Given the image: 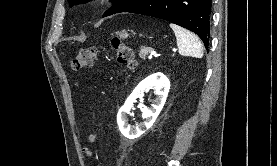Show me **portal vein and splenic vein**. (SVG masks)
Masks as SVG:
<instances>
[{"label": "portal vein and splenic vein", "instance_id": "1", "mask_svg": "<svg viewBox=\"0 0 277 166\" xmlns=\"http://www.w3.org/2000/svg\"><path fill=\"white\" fill-rule=\"evenodd\" d=\"M149 53H150V55L148 56V58H152L153 57V53L151 51Z\"/></svg>", "mask_w": 277, "mask_h": 166}]
</instances>
